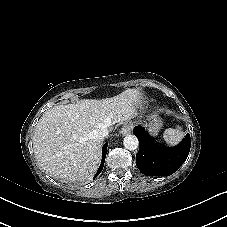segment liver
Listing matches in <instances>:
<instances>
[{
    "mask_svg": "<svg viewBox=\"0 0 227 227\" xmlns=\"http://www.w3.org/2000/svg\"><path fill=\"white\" fill-rule=\"evenodd\" d=\"M140 98L138 90L128 89L111 98L52 107L34 129L36 160L54 178L90 180L101 161L102 143L95 131L133 118Z\"/></svg>",
    "mask_w": 227,
    "mask_h": 227,
    "instance_id": "liver-1",
    "label": "liver"
}]
</instances>
